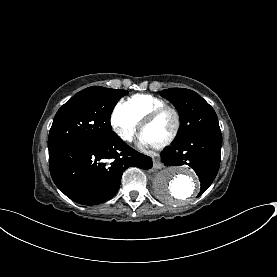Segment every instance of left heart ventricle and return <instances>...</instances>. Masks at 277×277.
<instances>
[{"label":"left heart ventricle","instance_id":"b2bd125f","mask_svg":"<svg viewBox=\"0 0 277 277\" xmlns=\"http://www.w3.org/2000/svg\"><path fill=\"white\" fill-rule=\"evenodd\" d=\"M175 118L172 112H164L153 123L146 126L143 132L155 143L159 144L165 140L172 132Z\"/></svg>","mask_w":277,"mask_h":277}]
</instances>
